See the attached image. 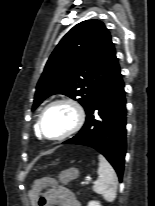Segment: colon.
Wrapping results in <instances>:
<instances>
[{
  "instance_id": "1",
  "label": "colon",
  "mask_w": 155,
  "mask_h": 206,
  "mask_svg": "<svg viewBox=\"0 0 155 206\" xmlns=\"http://www.w3.org/2000/svg\"><path fill=\"white\" fill-rule=\"evenodd\" d=\"M57 184V182L54 179L50 178H44L40 180V188H34L33 192L36 193V201L38 206H44L47 202L46 194L41 191L42 188L48 189V191H51V189Z\"/></svg>"
}]
</instances>
